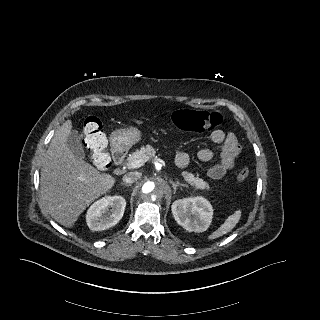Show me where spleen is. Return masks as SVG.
I'll use <instances>...</instances> for the list:
<instances>
[{"label":"spleen","mask_w":320,"mask_h":320,"mask_svg":"<svg viewBox=\"0 0 320 320\" xmlns=\"http://www.w3.org/2000/svg\"><path fill=\"white\" fill-rule=\"evenodd\" d=\"M241 218V210H236L232 215L228 216L224 223L211 235L208 239L213 240L229 233L239 222Z\"/></svg>","instance_id":"1"}]
</instances>
